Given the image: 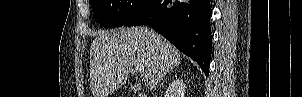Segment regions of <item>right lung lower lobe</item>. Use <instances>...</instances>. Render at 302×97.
Instances as JSON below:
<instances>
[{"mask_svg":"<svg viewBox=\"0 0 302 97\" xmlns=\"http://www.w3.org/2000/svg\"><path fill=\"white\" fill-rule=\"evenodd\" d=\"M210 0H147L124 26L148 24L181 52L194 59L208 76L212 37Z\"/></svg>","mask_w":302,"mask_h":97,"instance_id":"obj_1","label":"right lung lower lobe"}]
</instances>
